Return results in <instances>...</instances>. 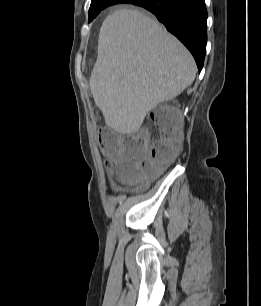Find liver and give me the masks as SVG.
Wrapping results in <instances>:
<instances>
[{
  "label": "liver",
  "instance_id": "6515ba94",
  "mask_svg": "<svg viewBox=\"0 0 261 306\" xmlns=\"http://www.w3.org/2000/svg\"><path fill=\"white\" fill-rule=\"evenodd\" d=\"M195 75L192 55L155 19L121 9L103 21L89 85L108 127L135 133L150 110L181 94Z\"/></svg>",
  "mask_w": 261,
  "mask_h": 306
}]
</instances>
